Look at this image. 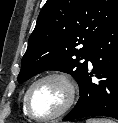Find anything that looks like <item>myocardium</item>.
<instances>
[{
    "mask_svg": "<svg viewBox=\"0 0 118 123\" xmlns=\"http://www.w3.org/2000/svg\"><path fill=\"white\" fill-rule=\"evenodd\" d=\"M51 79L60 81L66 87L67 100L63 105V107L57 113L47 117L37 116L33 113L31 108V104H30L31 93L37 85ZM76 96H77V85L74 79L65 72L53 71L39 77L29 86L24 96V106H25L26 113L30 118L36 121L48 122L62 117L73 106L76 100Z\"/></svg>",
    "mask_w": 118,
    "mask_h": 123,
    "instance_id": "obj_1",
    "label": "myocardium"
}]
</instances>
